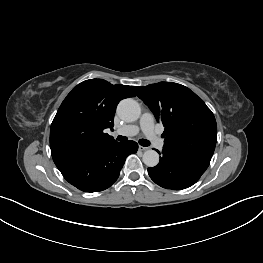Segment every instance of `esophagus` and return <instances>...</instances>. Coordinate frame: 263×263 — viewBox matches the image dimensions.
I'll list each match as a JSON object with an SVG mask.
<instances>
[{
	"label": "esophagus",
	"instance_id": "esophagus-1",
	"mask_svg": "<svg viewBox=\"0 0 263 263\" xmlns=\"http://www.w3.org/2000/svg\"><path fill=\"white\" fill-rule=\"evenodd\" d=\"M138 149H139V151H146V150H148V147H144V146L139 145Z\"/></svg>",
	"mask_w": 263,
	"mask_h": 263
}]
</instances>
